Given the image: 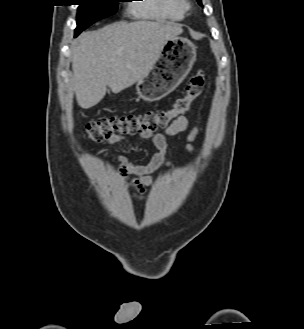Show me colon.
I'll return each instance as SVG.
<instances>
[{
	"label": "colon",
	"mask_w": 304,
	"mask_h": 329,
	"mask_svg": "<svg viewBox=\"0 0 304 329\" xmlns=\"http://www.w3.org/2000/svg\"><path fill=\"white\" fill-rule=\"evenodd\" d=\"M206 83V73L198 70L186 87V94L178 98L170 109H158L143 114L103 117L91 121L85 135L92 141L99 142L117 135L148 136L159 128L167 127L176 117L187 113L192 102L198 98Z\"/></svg>",
	"instance_id": "obj_1"
}]
</instances>
